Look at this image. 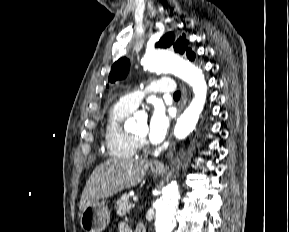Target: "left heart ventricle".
Listing matches in <instances>:
<instances>
[{
	"mask_svg": "<svg viewBox=\"0 0 289 232\" xmlns=\"http://www.w3.org/2000/svg\"><path fill=\"white\" fill-rule=\"evenodd\" d=\"M136 136L145 137L147 135V123L143 122L139 125L136 133Z\"/></svg>",
	"mask_w": 289,
	"mask_h": 232,
	"instance_id": "obj_1",
	"label": "left heart ventricle"
}]
</instances>
